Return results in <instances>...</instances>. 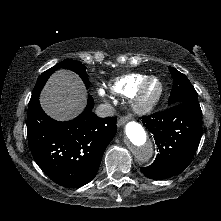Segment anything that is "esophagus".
<instances>
[{
  "label": "esophagus",
  "mask_w": 221,
  "mask_h": 221,
  "mask_svg": "<svg viewBox=\"0 0 221 221\" xmlns=\"http://www.w3.org/2000/svg\"><path fill=\"white\" fill-rule=\"evenodd\" d=\"M129 118H130L129 116H122V117H120L119 120H118V122H117V126H118V127L123 126V125L127 122V120H128Z\"/></svg>",
  "instance_id": "obj_1"
}]
</instances>
